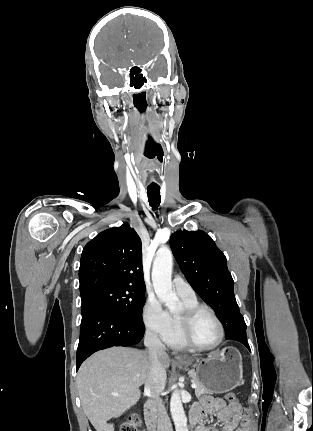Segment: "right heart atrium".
<instances>
[{
	"label": "right heart atrium",
	"instance_id": "d8ad5b80",
	"mask_svg": "<svg viewBox=\"0 0 313 431\" xmlns=\"http://www.w3.org/2000/svg\"><path fill=\"white\" fill-rule=\"evenodd\" d=\"M142 320L145 328L163 340L171 331L170 314L163 308L160 300L150 296L142 309Z\"/></svg>",
	"mask_w": 313,
	"mask_h": 431
}]
</instances>
